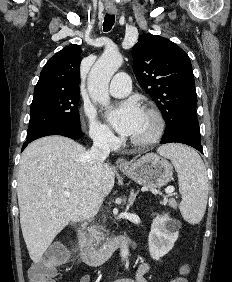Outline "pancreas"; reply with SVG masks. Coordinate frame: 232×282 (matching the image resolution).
I'll use <instances>...</instances> for the list:
<instances>
[{
	"label": "pancreas",
	"mask_w": 232,
	"mask_h": 282,
	"mask_svg": "<svg viewBox=\"0 0 232 282\" xmlns=\"http://www.w3.org/2000/svg\"><path fill=\"white\" fill-rule=\"evenodd\" d=\"M168 205L173 209H177V202L173 198L168 200ZM102 230L106 231L103 227H96V226H91L88 229L89 239L90 241L95 243V245H99L101 244V242L105 240V235L103 234Z\"/></svg>",
	"instance_id": "cf45deb5"
}]
</instances>
